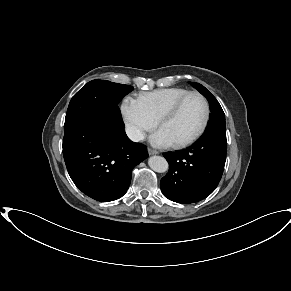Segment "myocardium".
Returning a JSON list of instances; mask_svg holds the SVG:
<instances>
[{"label": "myocardium", "mask_w": 291, "mask_h": 291, "mask_svg": "<svg viewBox=\"0 0 291 291\" xmlns=\"http://www.w3.org/2000/svg\"><path fill=\"white\" fill-rule=\"evenodd\" d=\"M191 96H198L204 102V105H205L204 119H203V122H202L200 128L197 130V132L195 134H193L191 137H189L186 140H183V141H180V142H176V143H172L171 145L174 148H185L187 146H190L194 142H196L204 134V132H205L207 126H208L209 120H210V104H209L208 100L201 93L194 91V92H189L186 95H184L182 98H180L175 104H173L158 119V121H157L158 128H160L165 122L173 119L178 114V112L180 111L181 107L186 102V100L188 98H190Z\"/></svg>", "instance_id": "myocardium-1"}]
</instances>
